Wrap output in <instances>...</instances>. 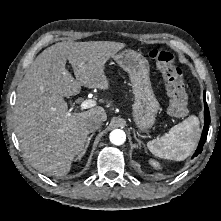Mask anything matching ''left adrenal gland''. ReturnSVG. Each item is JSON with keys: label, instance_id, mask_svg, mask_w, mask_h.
Listing matches in <instances>:
<instances>
[{"label": "left adrenal gland", "instance_id": "left-adrenal-gland-1", "mask_svg": "<svg viewBox=\"0 0 221 221\" xmlns=\"http://www.w3.org/2000/svg\"><path fill=\"white\" fill-rule=\"evenodd\" d=\"M134 138H135V140L139 143L140 146H141V144H142V145L144 146V148L146 149L145 144H144L141 140L137 139L136 134H135V131H134Z\"/></svg>", "mask_w": 221, "mask_h": 221}]
</instances>
